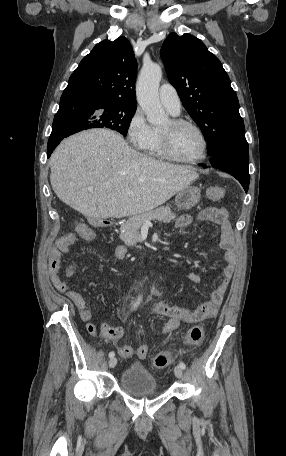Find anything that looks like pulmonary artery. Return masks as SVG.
<instances>
[{
  "label": "pulmonary artery",
  "instance_id": "1",
  "mask_svg": "<svg viewBox=\"0 0 286 456\" xmlns=\"http://www.w3.org/2000/svg\"><path fill=\"white\" fill-rule=\"evenodd\" d=\"M161 104L172 114L178 115L181 110V103L176 89L170 84H163L159 89Z\"/></svg>",
  "mask_w": 286,
  "mask_h": 456
}]
</instances>
